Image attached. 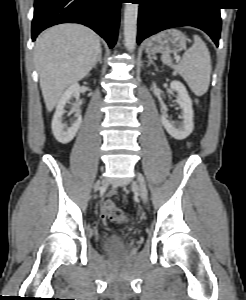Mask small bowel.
<instances>
[{
  "label": "small bowel",
  "instance_id": "small-bowel-1",
  "mask_svg": "<svg viewBox=\"0 0 246 300\" xmlns=\"http://www.w3.org/2000/svg\"><path fill=\"white\" fill-rule=\"evenodd\" d=\"M101 218H102L103 220H106V218H105L104 215H103V211H102V214H101Z\"/></svg>",
  "mask_w": 246,
  "mask_h": 300
}]
</instances>
